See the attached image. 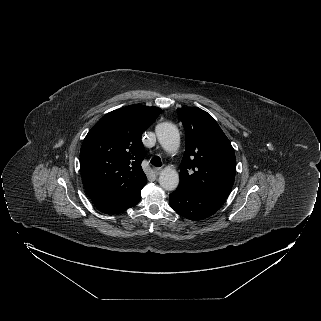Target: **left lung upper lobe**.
Returning <instances> with one entry per match:
<instances>
[{
	"label": "left lung upper lobe",
	"mask_w": 321,
	"mask_h": 321,
	"mask_svg": "<svg viewBox=\"0 0 321 321\" xmlns=\"http://www.w3.org/2000/svg\"><path fill=\"white\" fill-rule=\"evenodd\" d=\"M177 112L186 137L178 188L226 199L236 172V157L230 141L204 110L184 107Z\"/></svg>",
	"instance_id": "5c2ea615"
}]
</instances>
